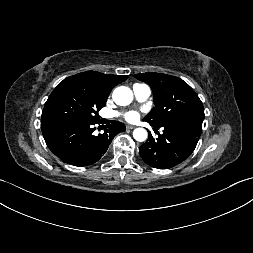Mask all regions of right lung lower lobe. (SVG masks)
Returning a JSON list of instances; mask_svg holds the SVG:
<instances>
[{
    "mask_svg": "<svg viewBox=\"0 0 253 253\" xmlns=\"http://www.w3.org/2000/svg\"><path fill=\"white\" fill-rule=\"evenodd\" d=\"M95 123L52 122L41 124L48 148L62 161L74 166L97 162L107 151L114 136L125 131V125L109 121L103 134H93Z\"/></svg>",
    "mask_w": 253,
    "mask_h": 253,
    "instance_id": "1",
    "label": "right lung lower lobe"
}]
</instances>
